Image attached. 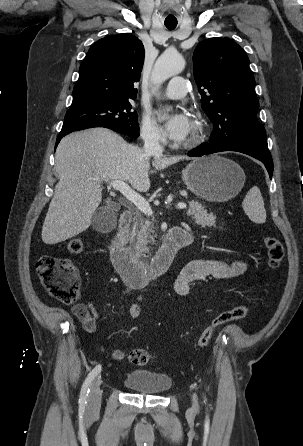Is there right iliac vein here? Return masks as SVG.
<instances>
[{"label": "right iliac vein", "mask_w": 303, "mask_h": 446, "mask_svg": "<svg viewBox=\"0 0 303 446\" xmlns=\"http://www.w3.org/2000/svg\"><path fill=\"white\" fill-rule=\"evenodd\" d=\"M101 380L97 378L93 381L90 387V393L88 397V410L90 412H95L101 403V390H100Z\"/></svg>", "instance_id": "right-iliac-vein-1"}]
</instances>
